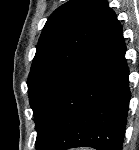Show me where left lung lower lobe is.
Wrapping results in <instances>:
<instances>
[{
    "label": "left lung lower lobe",
    "mask_w": 139,
    "mask_h": 150,
    "mask_svg": "<svg viewBox=\"0 0 139 150\" xmlns=\"http://www.w3.org/2000/svg\"><path fill=\"white\" fill-rule=\"evenodd\" d=\"M122 27L110 10L58 92L38 150H122L129 109V70Z\"/></svg>",
    "instance_id": "left-lung-lower-lobe-1"
}]
</instances>
